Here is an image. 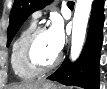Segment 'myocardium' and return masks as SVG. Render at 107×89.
I'll return each instance as SVG.
<instances>
[{
	"mask_svg": "<svg viewBox=\"0 0 107 89\" xmlns=\"http://www.w3.org/2000/svg\"><path fill=\"white\" fill-rule=\"evenodd\" d=\"M47 31L48 29L44 26L36 27L27 38L23 47V52H22L23 64L29 71L36 74H42L53 70L55 67L59 65L62 59V55L59 53L51 64L44 65L41 64L35 58L34 51H35V44L37 42V39L42 33Z\"/></svg>",
	"mask_w": 107,
	"mask_h": 89,
	"instance_id": "obj_1",
	"label": "myocardium"
}]
</instances>
